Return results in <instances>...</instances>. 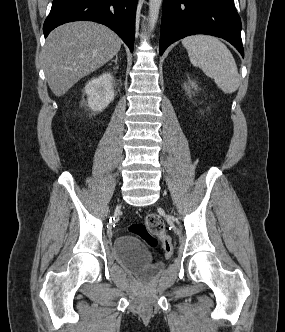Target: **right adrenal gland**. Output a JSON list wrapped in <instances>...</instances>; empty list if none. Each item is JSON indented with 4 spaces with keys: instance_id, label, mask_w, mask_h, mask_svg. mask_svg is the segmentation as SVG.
I'll use <instances>...</instances> for the list:
<instances>
[{
    "instance_id": "2a0ac1e0",
    "label": "right adrenal gland",
    "mask_w": 285,
    "mask_h": 332,
    "mask_svg": "<svg viewBox=\"0 0 285 332\" xmlns=\"http://www.w3.org/2000/svg\"><path fill=\"white\" fill-rule=\"evenodd\" d=\"M113 62H114L115 64L118 63V56H117V55H116L115 59L113 60Z\"/></svg>"
}]
</instances>
